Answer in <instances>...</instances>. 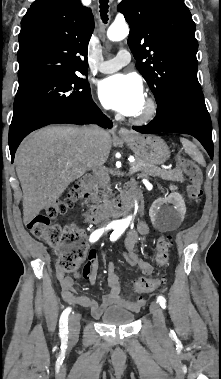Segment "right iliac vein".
Segmentation results:
<instances>
[{
  "instance_id": "1",
  "label": "right iliac vein",
  "mask_w": 221,
  "mask_h": 379,
  "mask_svg": "<svg viewBox=\"0 0 221 379\" xmlns=\"http://www.w3.org/2000/svg\"><path fill=\"white\" fill-rule=\"evenodd\" d=\"M80 330V317L77 314H73L69 318V337L71 339L77 338Z\"/></svg>"
}]
</instances>
